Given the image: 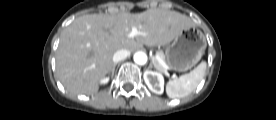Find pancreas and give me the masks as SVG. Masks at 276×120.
Instances as JSON below:
<instances>
[{"instance_id":"obj_1","label":"pancreas","mask_w":276,"mask_h":120,"mask_svg":"<svg viewBox=\"0 0 276 120\" xmlns=\"http://www.w3.org/2000/svg\"><path fill=\"white\" fill-rule=\"evenodd\" d=\"M158 56L160 57V59L161 60H164L165 59V55L163 54V52H158ZM154 64H156V68L159 70V71H162L163 70V68H162V66H161V64H160V62L157 60V61H155L154 62Z\"/></svg>"}]
</instances>
